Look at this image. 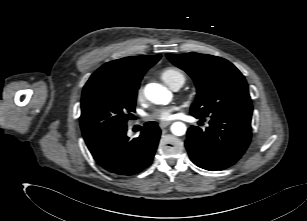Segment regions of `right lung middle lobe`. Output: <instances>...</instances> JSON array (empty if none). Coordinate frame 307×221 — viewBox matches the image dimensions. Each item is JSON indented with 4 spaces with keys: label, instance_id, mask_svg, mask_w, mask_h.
Returning <instances> with one entry per match:
<instances>
[{
    "label": "right lung middle lobe",
    "instance_id": "dd1d6c3e",
    "mask_svg": "<svg viewBox=\"0 0 307 221\" xmlns=\"http://www.w3.org/2000/svg\"><path fill=\"white\" fill-rule=\"evenodd\" d=\"M137 90V87H128L122 82L86 83L81 100L80 126L87 146L127 127V119L135 111Z\"/></svg>",
    "mask_w": 307,
    "mask_h": 221
}]
</instances>
